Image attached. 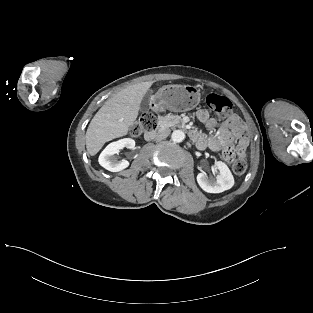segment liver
I'll return each instance as SVG.
<instances>
[{"label": "liver", "instance_id": "1", "mask_svg": "<svg viewBox=\"0 0 313 313\" xmlns=\"http://www.w3.org/2000/svg\"><path fill=\"white\" fill-rule=\"evenodd\" d=\"M153 81L129 86L108 99L91 120L86 132L89 155H96L103 145L126 135L134 124L143 97Z\"/></svg>", "mask_w": 313, "mask_h": 313}]
</instances>
